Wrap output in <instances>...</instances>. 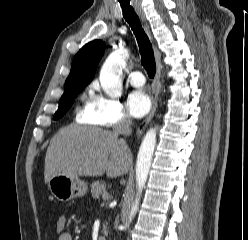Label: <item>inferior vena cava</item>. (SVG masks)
<instances>
[{"label":"inferior vena cava","instance_id":"1","mask_svg":"<svg viewBox=\"0 0 248 240\" xmlns=\"http://www.w3.org/2000/svg\"><path fill=\"white\" fill-rule=\"evenodd\" d=\"M116 134L128 136L131 134V122L129 119H122L114 128Z\"/></svg>","mask_w":248,"mask_h":240}]
</instances>
